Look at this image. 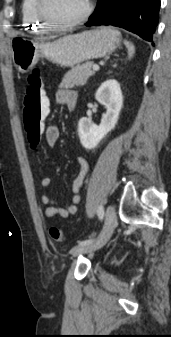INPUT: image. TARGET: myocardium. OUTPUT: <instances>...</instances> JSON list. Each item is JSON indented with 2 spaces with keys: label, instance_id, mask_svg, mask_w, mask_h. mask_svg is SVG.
Returning <instances> with one entry per match:
<instances>
[{
  "label": "myocardium",
  "instance_id": "myocardium-1",
  "mask_svg": "<svg viewBox=\"0 0 171 337\" xmlns=\"http://www.w3.org/2000/svg\"><path fill=\"white\" fill-rule=\"evenodd\" d=\"M47 4L48 0H37L38 18L47 28L57 31L70 29L81 24L90 16L92 12V3L90 0H87L86 8L80 16L68 22H57L54 21L48 14Z\"/></svg>",
  "mask_w": 171,
  "mask_h": 337
}]
</instances>
